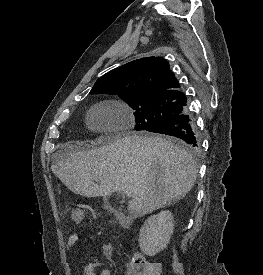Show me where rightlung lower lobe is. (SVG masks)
Segmentation results:
<instances>
[{
	"label": "right lung lower lobe",
	"instance_id": "right-lung-lower-lobe-1",
	"mask_svg": "<svg viewBox=\"0 0 263 275\" xmlns=\"http://www.w3.org/2000/svg\"><path fill=\"white\" fill-rule=\"evenodd\" d=\"M150 132L177 137L195 149L199 146L195 123L187 112L151 129Z\"/></svg>",
	"mask_w": 263,
	"mask_h": 275
}]
</instances>
